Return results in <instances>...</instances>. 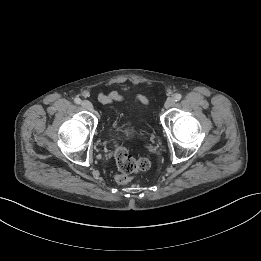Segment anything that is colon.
I'll use <instances>...</instances> for the list:
<instances>
[{"instance_id":"5ec220e1","label":"colon","mask_w":261,"mask_h":261,"mask_svg":"<svg viewBox=\"0 0 261 261\" xmlns=\"http://www.w3.org/2000/svg\"><path fill=\"white\" fill-rule=\"evenodd\" d=\"M114 157L119 170V173L115 176V180L119 184L128 183L132 173L146 171L150 168V161L148 159H135L123 147L116 148Z\"/></svg>"}]
</instances>
